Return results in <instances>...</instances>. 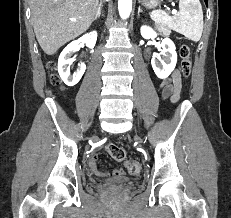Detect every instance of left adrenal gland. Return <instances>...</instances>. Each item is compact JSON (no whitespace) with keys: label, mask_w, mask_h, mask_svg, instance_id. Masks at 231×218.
<instances>
[{"label":"left adrenal gland","mask_w":231,"mask_h":218,"mask_svg":"<svg viewBox=\"0 0 231 218\" xmlns=\"http://www.w3.org/2000/svg\"><path fill=\"white\" fill-rule=\"evenodd\" d=\"M142 12V9H141V7L139 6V8H138V17L140 16V13Z\"/></svg>","instance_id":"a2214340"}]
</instances>
